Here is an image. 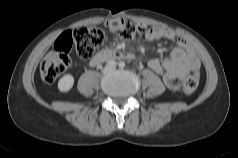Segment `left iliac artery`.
Segmentation results:
<instances>
[{"mask_svg":"<svg viewBox=\"0 0 238 158\" xmlns=\"http://www.w3.org/2000/svg\"><path fill=\"white\" fill-rule=\"evenodd\" d=\"M119 67H120V68H124V67H125V63H124V62H120V63H119Z\"/></svg>","mask_w":238,"mask_h":158,"instance_id":"1","label":"left iliac artery"}]
</instances>
